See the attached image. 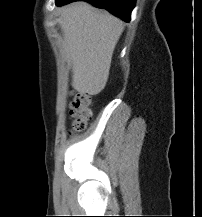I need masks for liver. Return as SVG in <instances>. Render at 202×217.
I'll return each mask as SVG.
<instances>
[{"label": "liver", "instance_id": "liver-1", "mask_svg": "<svg viewBox=\"0 0 202 217\" xmlns=\"http://www.w3.org/2000/svg\"><path fill=\"white\" fill-rule=\"evenodd\" d=\"M59 25L72 65V87L81 94L97 95L107 83L123 22L88 3L76 2L60 9Z\"/></svg>", "mask_w": 202, "mask_h": 217}]
</instances>
